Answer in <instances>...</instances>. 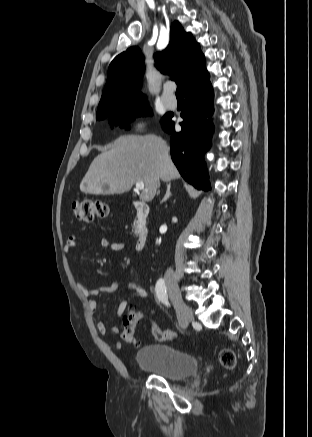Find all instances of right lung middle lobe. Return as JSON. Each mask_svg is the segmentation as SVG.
<instances>
[{"label":"right lung middle lobe","instance_id":"dd1d6c3e","mask_svg":"<svg viewBox=\"0 0 312 437\" xmlns=\"http://www.w3.org/2000/svg\"><path fill=\"white\" fill-rule=\"evenodd\" d=\"M148 113H150V108L147 102H145V103L128 104L122 106L106 116L97 117V119L100 120V119L108 118V121L111 126L118 125L122 128V127H127L131 122V120H133L135 117L139 115H146ZM168 118L169 115L166 114L162 119V123L165 122Z\"/></svg>","mask_w":312,"mask_h":437}]
</instances>
